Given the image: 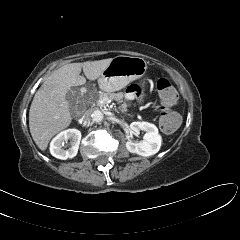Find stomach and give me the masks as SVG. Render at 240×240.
Here are the masks:
<instances>
[{
  "label": "stomach",
  "mask_w": 240,
  "mask_h": 240,
  "mask_svg": "<svg viewBox=\"0 0 240 240\" xmlns=\"http://www.w3.org/2000/svg\"><path fill=\"white\" fill-rule=\"evenodd\" d=\"M147 62L144 58L120 55L112 59L98 79L100 89L118 91L144 76Z\"/></svg>",
  "instance_id": "stomach-1"
}]
</instances>
